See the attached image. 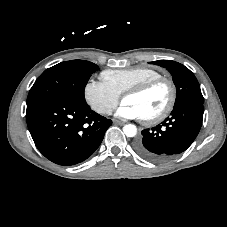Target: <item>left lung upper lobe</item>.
Segmentation results:
<instances>
[{"label":"left lung upper lobe","mask_w":227,"mask_h":227,"mask_svg":"<svg viewBox=\"0 0 227 227\" xmlns=\"http://www.w3.org/2000/svg\"><path fill=\"white\" fill-rule=\"evenodd\" d=\"M150 63L164 67L171 73L177 90L174 107L192 100L204 102L200 85L187 67L171 60H158Z\"/></svg>","instance_id":"1"}]
</instances>
